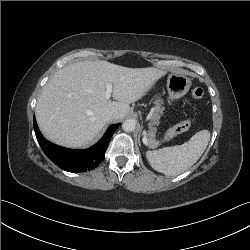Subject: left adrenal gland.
Here are the masks:
<instances>
[{"label":"left adrenal gland","mask_w":250,"mask_h":250,"mask_svg":"<svg viewBox=\"0 0 250 250\" xmlns=\"http://www.w3.org/2000/svg\"><path fill=\"white\" fill-rule=\"evenodd\" d=\"M143 135H146V132H145V131H143Z\"/></svg>","instance_id":"a2214340"}]
</instances>
